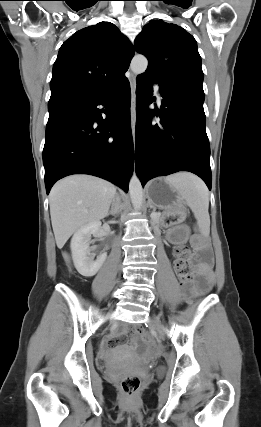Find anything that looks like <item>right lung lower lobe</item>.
<instances>
[{
	"mask_svg": "<svg viewBox=\"0 0 261 427\" xmlns=\"http://www.w3.org/2000/svg\"><path fill=\"white\" fill-rule=\"evenodd\" d=\"M130 101L125 78L97 98L49 111L43 149L47 194L56 181L76 173L104 178L128 191L134 161Z\"/></svg>",
	"mask_w": 261,
	"mask_h": 427,
	"instance_id": "obj_1",
	"label": "right lung lower lobe"
}]
</instances>
